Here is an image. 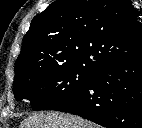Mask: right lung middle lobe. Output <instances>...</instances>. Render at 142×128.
Listing matches in <instances>:
<instances>
[{
	"instance_id": "right-lung-middle-lobe-1",
	"label": "right lung middle lobe",
	"mask_w": 142,
	"mask_h": 128,
	"mask_svg": "<svg viewBox=\"0 0 142 128\" xmlns=\"http://www.w3.org/2000/svg\"><path fill=\"white\" fill-rule=\"evenodd\" d=\"M94 72L80 65L42 68L14 79L16 100L27 99L32 109L54 110L67 104L89 84Z\"/></svg>"
}]
</instances>
